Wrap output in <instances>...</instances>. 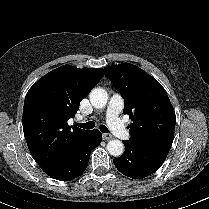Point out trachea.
I'll return each mask as SVG.
<instances>
[{"mask_svg": "<svg viewBox=\"0 0 209 209\" xmlns=\"http://www.w3.org/2000/svg\"><path fill=\"white\" fill-rule=\"evenodd\" d=\"M77 126H79L80 128H83V129L90 130V129L94 128L95 123L93 121H90V122H86V123H78ZM99 129L103 133H107L108 132V128L106 126H104V125H100Z\"/></svg>", "mask_w": 209, "mask_h": 209, "instance_id": "1", "label": "trachea"}]
</instances>
